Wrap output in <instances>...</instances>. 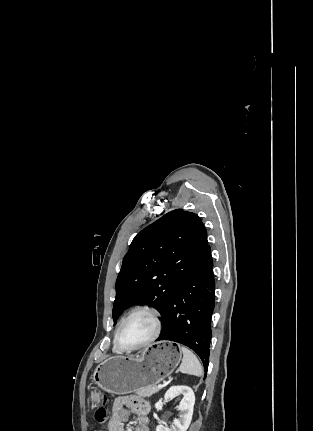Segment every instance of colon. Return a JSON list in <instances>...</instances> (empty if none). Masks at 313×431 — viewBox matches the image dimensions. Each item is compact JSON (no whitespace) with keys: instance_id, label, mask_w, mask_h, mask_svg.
<instances>
[{"instance_id":"5ec220e1","label":"colon","mask_w":313,"mask_h":431,"mask_svg":"<svg viewBox=\"0 0 313 431\" xmlns=\"http://www.w3.org/2000/svg\"><path fill=\"white\" fill-rule=\"evenodd\" d=\"M106 417H107V412H106V409L104 407L97 409V411L95 413V419L98 422H100V423L104 422ZM93 431H102V430H93Z\"/></svg>"}]
</instances>
